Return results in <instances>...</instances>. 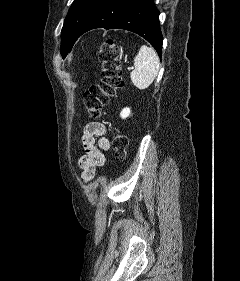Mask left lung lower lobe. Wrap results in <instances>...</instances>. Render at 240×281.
Wrapping results in <instances>:
<instances>
[{
	"mask_svg": "<svg viewBox=\"0 0 240 281\" xmlns=\"http://www.w3.org/2000/svg\"><path fill=\"white\" fill-rule=\"evenodd\" d=\"M125 29L146 39L161 57L163 37L153 0H102L84 24L79 37L95 29Z\"/></svg>",
	"mask_w": 240,
	"mask_h": 281,
	"instance_id": "obj_1",
	"label": "left lung lower lobe"
}]
</instances>
